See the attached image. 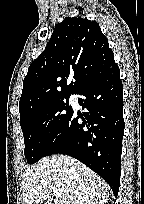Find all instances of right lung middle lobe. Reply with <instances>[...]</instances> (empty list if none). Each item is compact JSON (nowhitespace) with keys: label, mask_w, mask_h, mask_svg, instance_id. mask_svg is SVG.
<instances>
[{"label":"right lung middle lobe","mask_w":144,"mask_h":204,"mask_svg":"<svg viewBox=\"0 0 144 204\" xmlns=\"http://www.w3.org/2000/svg\"><path fill=\"white\" fill-rule=\"evenodd\" d=\"M70 95L53 98L20 116L24 135L25 158L33 164L45 153L72 113ZM67 99L64 103L63 99Z\"/></svg>","instance_id":"dd1d6c3e"}]
</instances>
